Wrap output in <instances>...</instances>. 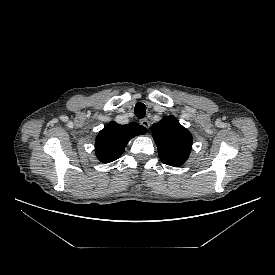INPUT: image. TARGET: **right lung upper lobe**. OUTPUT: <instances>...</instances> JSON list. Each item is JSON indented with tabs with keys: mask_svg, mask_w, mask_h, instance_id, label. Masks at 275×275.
<instances>
[{
	"mask_svg": "<svg viewBox=\"0 0 275 275\" xmlns=\"http://www.w3.org/2000/svg\"><path fill=\"white\" fill-rule=\"evenodd\" d=\"M146 132L145 127L134 122L127 125L110 122L96 138L95 153L97 158L103 163L118 159L131 138Z\"/></svg>",
	"mask_w": 275,
	"mask_h": 275,
	"instance_id": "right-lung-upper-lobe-1",
	"label": "right lung upper lobe"
}]
</instances>
